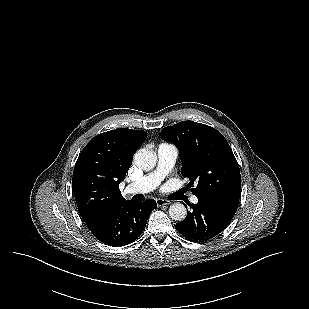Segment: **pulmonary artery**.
Returning <instances> with one entry per match:
<instances>
[{"label": "pulmonary artery", "instance_id": "1", "mask_svg": "<svg viewBox=\"0 0 309 309\" xmlns=\"http://www.w3.org/2000/svg\"><path fill=\"white\" fill-rule=\"evenodd\" d=\"M178 156L177 148L172 144L163 143L157 149V166L152 172L144 175L125 188L127 194H144L153 191L164 177L169 174ZM192 203H197L196 196L191 197Z\"/></svg>", "mask_w": 309, "mask_h": 309}]
</instances>
